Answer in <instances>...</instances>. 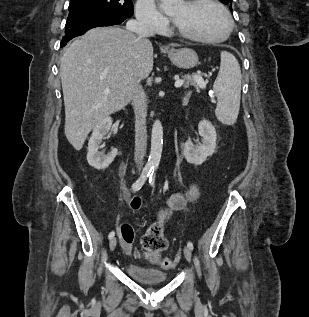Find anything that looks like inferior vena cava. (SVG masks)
<instances>
[{
    "instance_id": "1",
    "label": "inferior vena cava",
    "mask_w": 309,
    "mask_h": 317,
    "mask_svg": "<svg viewBox=\"0 0 309 317\" xmlns=\"http://www.w3.org/2000/svg\"><path fill=\"white\" fill-rule=\"evenodd\" d=\"M126 29L136 33L139 37L154 35L152 28L136 20H130L126 23ZM132 104L135 113V153L134 159L139 169L143 166V160L147 150V99L146 94L140 85V81L135 84Z\"/></svg>"
}]
</instances>
